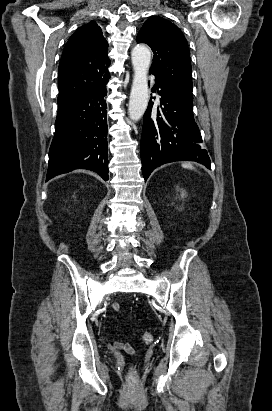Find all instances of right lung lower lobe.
I'll return each mask as SVG.
<instances>
[{
	"label": "right lung lower lobe",
	"mask_w": 272,
	"mask_h": 411,
	"mask_svg": "<svg viewBox=\"0 0 272 411\" xmlns=\"http://www.w3.org/2000/svg\"><path fill=\"white\" fill-rule=\"evenodd\" d=\"M107 82L58 104L46 181L75 169H90L109 179Z\"/></svg>",
	"instance_id": "right-lung-lower-lobe-1"
}]
</instances>
